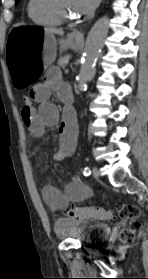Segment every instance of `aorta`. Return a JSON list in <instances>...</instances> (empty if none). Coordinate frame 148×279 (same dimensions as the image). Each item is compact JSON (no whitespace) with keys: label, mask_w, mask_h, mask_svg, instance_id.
<instances>
[{"label":"aorta","mask_w":148,"mask_h":279,"mask_svg":"<svg viewBox=\"0 0 148 279\" xmlns=\"http://www.w3.org/2000/svg\"><path fill=\"white\" fill-rule=\"evenodd\" d=\"M108 30L109 21L107 17H102L96 21L88 33L84 48V58L78 75V88L80 90L86 87L87 82L94 74L95 64L104 46Z\"/></svg>","instance_id":"aorta-1"}]
</instances>
